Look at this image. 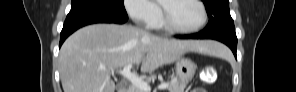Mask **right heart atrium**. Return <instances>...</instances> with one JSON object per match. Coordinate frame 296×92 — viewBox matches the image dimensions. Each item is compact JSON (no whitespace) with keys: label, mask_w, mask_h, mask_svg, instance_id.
I'll return each instance as SVG.
<instances>
[{"label":"right heart atrium","mask_w":296,"mask_h":92,"mask_svg":"<svg viewBox=\"0 0 296 92\" xmlns=\"http://www.w3.org/2000/svg\"><path fill=\"white\" fill-rule=\"evenodd\" d=\"M125 9L133 21L145 26H150L160 15L157 3L151 0H127Z\"/></svg>","instance_id":"1"}]
</instances>
